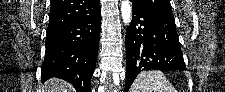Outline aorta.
I'll list each match as a JSON object with an SVG mask.
<instances>
[{
	"label": "aorta",
	"mask_w": 225,
	"mask_h": 92,
	"mask_svg": "<svg viewBox=\"0 0 225 92\" xmlns=\"http://www.w3.org/2000/svg\"><path fill=\"white\" fill-rule=\"evenodd\" d=\"M121 15L123 22L128 25L131 22L132 7L129 0H122L121 2Z\"/></svg>",
	"instance_id": "obj_1"
}]
</instances>
